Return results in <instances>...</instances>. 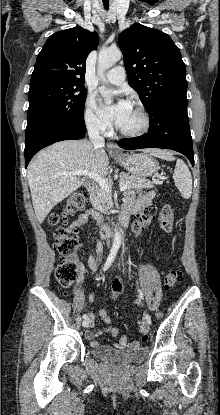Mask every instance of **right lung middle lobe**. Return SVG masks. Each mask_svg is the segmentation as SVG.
I'll return each instance as SVG.
<instances>
[{
	"label": "right lung middle lobe",
	"mask_w": 220,
	"mask_h": 415,
	"mask_svg": "<svg viewBox=\"0 0 220 415\" xmlns=\"http://www.w3.org/2000/svg\"><path fill=\"white\" fill-rule=\"evenodd\" d=\"M26 138L46 128L84 124L86 89L82 84L41 78L30 81Z\"/></svg>",
	"instance_id": "1"
}]
</instances>
